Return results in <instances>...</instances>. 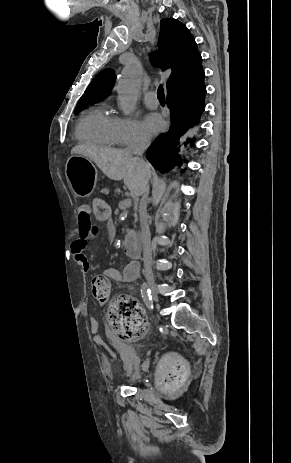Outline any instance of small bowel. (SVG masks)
<instances>
[{"label": "small bowel", "mask_w": 291, "mask_h": 463, "mask_svg": "<svg viewBox=\"0 0 291 463\" xmlns=\"http://www.w3.org/2000/svg\"><path fill=\"white\" fill-rule=\"evenodd\" d=\"M107 233L108 237L111 239L110 243L114 244V239L117 237V234L116 228L111 221H108ZM97 237L98 228L91 221L90 208L88 206H81L79 208L78 214L77 237L71 243V252L74 259L85 272L89 271V263L85 255V249L88 242L90 240H95ZM104 275L107 278L115 281L133 282L138 278L139 275L138 264L130 263L125 266L122 271L116 268H108L104 271ZM91 328L94 330V333H96L98 330L97 328H93V323H91Z\"/></svg>", "instance_id": "obj_1"}]
</instances>
